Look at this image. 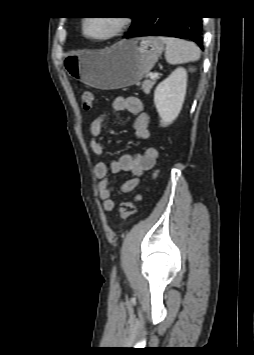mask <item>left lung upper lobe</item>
I'll use <instances>...</instances> for the list:
<instances>
[{"instance_id": "5c2ea615", "label": "left lung upper lobe", "mask_w": 254, "mask_h": 355, "mask_svg": "<svg viewBox=\"0 0 254 355\" xmlns=\"http://www.w3.org/2000/svg\"><path fill=\"white\" fill-rule=\"evenodd\" d=\"M132 18H133V23H134L137 20V17H132Z\"/></svg>"}]
</instances>
